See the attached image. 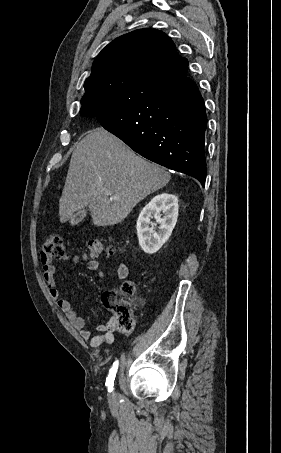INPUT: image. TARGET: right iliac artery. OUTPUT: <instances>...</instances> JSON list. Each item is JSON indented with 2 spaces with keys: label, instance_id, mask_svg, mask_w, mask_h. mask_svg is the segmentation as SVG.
<instances>
[{
  "label": "right iliac artery",
  "instance_id": "1",
  "mask_svg": "<svg viewBox=\"0 0 281 453\" xmlns=\"http://www.w3.org/2000/svg\"><path fill=\"white\" fill-rule=\"evenodd\" d=\"M118 364H119L118 360L113 363L112 368L109 370L108 377L106 378L105 385L108 387V391H112L113 390V384H114V380H115V377H116Z\"/></svg>",
  "mask_w": 281,
  "mask_h": 453
}]
</instances>
